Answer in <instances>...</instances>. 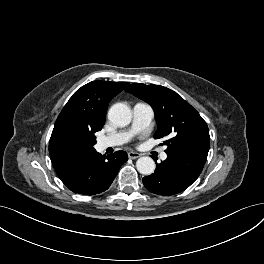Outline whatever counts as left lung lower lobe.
<instances>
[{
	"label": "left lung lower lobe",
	"mask_w": 264,
	"mask_h": 264,
	"mask_svg": "<svg viewBox=\"0 0 264 264\" xmlns=\"http://www.w3.org/2000/svg\"><path fill=\"white\" fill-rule=\"evenodd\" d=\"M206 158L184 149L167 153V159L156 163L155 172L143 178L150 192L170 196L187 189L200 175Z\"/></svg>",
	"instance_id": "obj_1"
}]
</instances>
